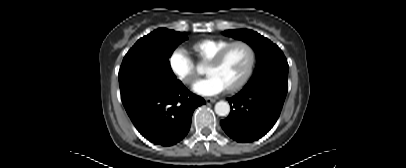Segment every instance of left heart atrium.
Returning a JSON list of instances; mask_svg holds the SVG:
<instances>
[{"label": "left heart atrium", "instance_id": "left-heart-atrium-1", "mask_svg": "<svg viewBox=\"0 0 406 168\" xmlns=\"http://www.w3.org/2000/svg\"><path fill=\"white\" fill-rule=\"evenodd\" d=\"M193 90L202 96H213L225 90L224 86L214 76L208 75L206 78L197 81L193 85Z\"/></svg>", "mask_w": 406, "mask_h": 168}]
</instances>
